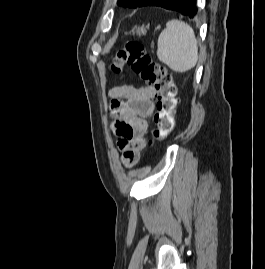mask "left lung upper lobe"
Listing matches in <instances>:
<instances>
[{
    "instance_id": "obj_1",
    "label": "left lung upper lobe",
    "mask_w": 265,
    "mask_h": 269,
    "mask_svg": "<svg viewBox=\"0 0 265 269\" xmlns=\"http://www.w3.org/2000/svg\"><path fill=\"white\" fill-rule=\"evenodd\" d=\"M144 0H118L117 4L123 7L136 8Z\"/></svg>"
}]
</instances>
